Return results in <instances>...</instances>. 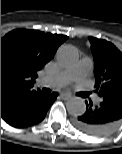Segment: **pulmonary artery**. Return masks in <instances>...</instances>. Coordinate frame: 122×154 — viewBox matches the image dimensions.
<instances>
[{"instance_id": "obj_1", "label": "pulmonary artery", "mask_w": 122, "mask_h": 154, "mask_svg": "<svg viewBox=\"0 0 122 154\" xmlns=\"http://www.w3.org/2000/svg\"><path fill=\"white\" fill-rule=\"evenodd\" d=\"M92 66V60L89 57H84L76 65L61 71L57 75L45 77L44 81L53 87H63L72 81L84 84ZM95 101L96 103L100 102L99 99Z\"/></svg>"}]
</instances>
